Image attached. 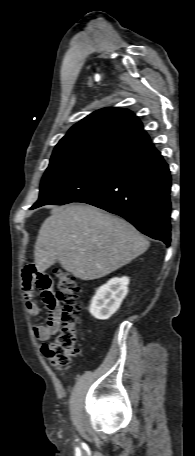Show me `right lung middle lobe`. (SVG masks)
<instances>
[{
    "mask_svg": "<svg viewBox=\"0 0 195 456\" xmlns=\"http://www.w3.org/2000/svg\"><path fill=\"white\" fill-rule=\"evenodd\" d=\"M123 167L92 160L50 163L40 186V196L31 209L75 202L95 191Z\"/></svg>",
    "mask_w": 195,
    "mask_h": 456,
    "instance_id": "right-lung-middle-lobe-1",
    "label": "right lung middle lobe"
}]
</instances>
